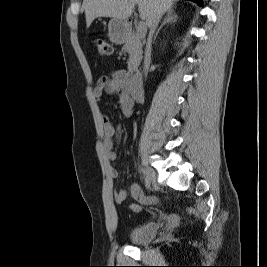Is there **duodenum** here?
Segmentation results:
<instances>
[{"label":"duodenum","instance_id":"410a0bca","mask_svg":"<svg viewBox=\"0 0 267 267\" xmlns=\"http://www.w3.org/2000/svg\"><path fill=\"white\" fill-rule=\"evenodd\" d=\"M130 81H131L130 85L131 97L136 101H140L142 99V89H141V77L139 72L137 71L132 72Z\"/></svg>","mask_w":267,"mask_h":267}]
</instances>
